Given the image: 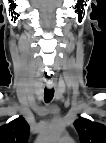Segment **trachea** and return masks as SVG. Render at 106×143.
Returning a JSON list of instances; mask_svg holds the SVG:
<instances>
[{"instance_id":"3493384b","label":"trachea","mask_w":106,"mask_h":143,"mask_svg":"<svg viewBox=\"0 0 106 143\" xmlns=\"http://www.w3.org/2000/svg\"><path fill=\"white\" fill-rule=\"evenodd\" d=\"M54 96V89H45L44 100L45 102H50Z\"/></svg>"}]
</instances>
